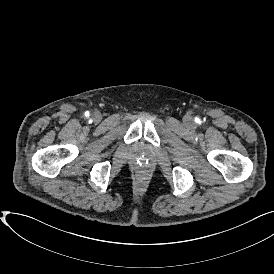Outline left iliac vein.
<instances>
[{
    "label": "left iliac vein",
    "instance_id": "obj_1",
    "mask_svg": "<svg viewBox=\"0 0 274 274\" xmlns=\"http://www.w3.org/2000/svg\"><path fill=\"white\" fill-rule=\"evenodd\" d=\"M185 123L190 125L192 123V118L190 116L185 117Z\"/></svg>",
    "mask_w": 274,
    "mask_h": 274
}]
</instances>
